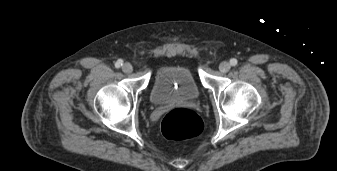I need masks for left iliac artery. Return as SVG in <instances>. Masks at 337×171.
Here are the masks:
<instances>
[{
    "label": "left iliac artery",
    "instance_id": "44dca946",
    "mask_svg": "<svg viewBox=\"0 0 337 171\" xmlns=\"http://www.w3.org/2000/svg\"><path fill=\"white\" fill-rule=\"evenodd\" d=\"M237 63H238V61H237V59H235V58H232V59L230 60L231 66H236Z\"/></svg>",
    "mask_w": 337,
    "mask_h": 171
}]
</instances>
